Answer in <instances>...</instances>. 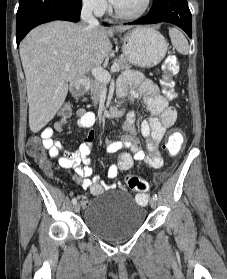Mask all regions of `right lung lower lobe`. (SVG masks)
<instances>
[{
	"mask_svg": "<svg viewBox=\"0 0 227 279\" xmlns=\"http://www.w3.org/2000/svg\"><path fill=\"white\" fill-rule=\"evenodd\" d=\"M81 7V0H19L16 15L17 45L31 29L40 24L53 20L78 22Z\"/></svg>",
	"mask_w": 227,
	"mask_h": 279,
	"instance_id": "right-lung-lower-lobe-1",
	"label": "right lung lower lobe"
}]
</instances>
